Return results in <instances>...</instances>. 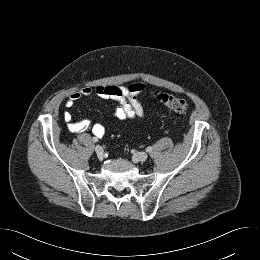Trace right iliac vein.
I'll use <instances>...</instances> for the list:
<instances>
[{
    "mask_svg": "<svg viewBox=\"0 0 260 260\" xmlns=\"http://www.w3.org/2000/svg\"><path fill=\"white\" fill-rule=\"evenodd\" d=\"M95 152H96V154H97L99 159L103 158L104 150H103V148L100 145H96L95 146Z\"/></svg>",
    "mask_w": 260,
    "mask_h": 260,
    "instance_id": "63e3f726",
    "label": "right iliac vein"
}]
</instances>
